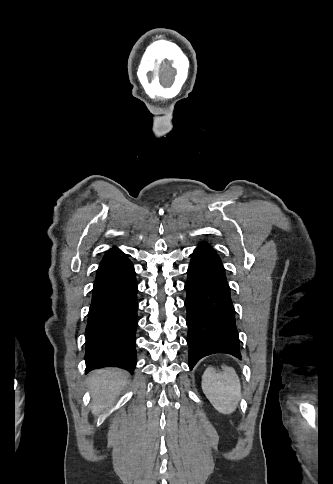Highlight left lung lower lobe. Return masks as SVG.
<instances>
[{
    "label": "left lung lower lobe",
    "mask_w": 333,
    "mask_h": 484,
    "mask_svg": "<svg viewBox=\"0 0 333 484\" xmlns=\"http://www.w3.org/2000/svg\"><path fill=\"white\" fill-rule=\"evenodd\" d=\"M185 290L190 369L201 358L215 353L241 359L225 269L207 243H200L192 254Z\"/></svg>",
    "instance_id": "left-lung-lower-lobe-1"
}]
</instances>
